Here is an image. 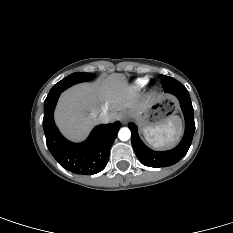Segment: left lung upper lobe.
<instances>
[{
  "label": "left lung upper lobe",
  "mask_w": 233,
  "mask_h": 233,
  "mask_svg": "<svg viewBox=\"0 0 233 233\" xmlns=\"http://www.w3.org/2000/svg\"><path fill=\"white\" fill-rule=\"evenodd\" d=\"M160 78H161V80H162L163 88H164V87H167V86H170V85H172L175 81H177V80H175L174 78L169 77V76H166V75H160Z\"/></svg>",
  "instance_id": "5c2ea615"
}]
</instances>
